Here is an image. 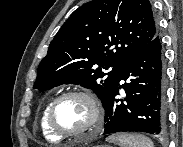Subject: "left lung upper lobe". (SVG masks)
I'll return each mask as SVG.
<instances>
[{"mask_svg": "<svg viewBox=\"0 0 183 147\" xmlns=\"http://www.w3.org/2000/svg\"><path fill=\"white\" fill-rule=\"evenodd\" d=\"M157 35L149 0H93L74 11L40 62L34 88L92 89L103 105L125 63Z\"/></svg>", "mask_w": 183, "mask_h": 147, "instance_id": "left-lung-upper-lobe-1", "label": "left lung upper lobe"}]
</instances>
